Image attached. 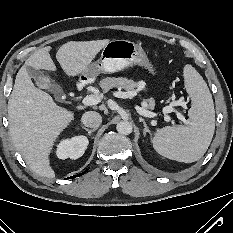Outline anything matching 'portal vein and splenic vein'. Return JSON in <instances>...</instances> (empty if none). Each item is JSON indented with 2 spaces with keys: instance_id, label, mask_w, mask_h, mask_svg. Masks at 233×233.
Instances as JSON below:
<instances>
[{
  "instance_id": "portal-vein-and-splenic-vein-1",
  "label": "portal vein and splenic vein",
  "mask_w": 233,
  "mask_h": 233,
  "mask_svg": "<svg viewBox=\"0 0 233 233\" xmlns=\"http://www.w3.org/2000/svg\"><path fill=\"white\" fill-rule=\"evenodd\" d=\"M102 98H103L102 94L87 95L86 97H84L82 99V104L85 106L96 105V104L101 102ZM180 104H181L180 101L172 102V105H169V106H166L163 108V113L167 114V113L175 112L177 115V118L179 120L185 122L184 116L179 111H177L176 109L173 108V106L180 105ZM184 104H186V103H184ZM138 112L145 117H153L154 116V113L147 111L146 109H143V108H139ZM165 120L170 121V117L166 116Z\"/></svg>"
}]
</instances>
